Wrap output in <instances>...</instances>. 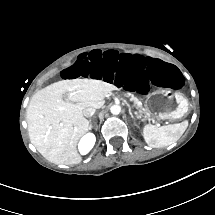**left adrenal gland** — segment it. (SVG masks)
<instances>
[{"instance_id": "a2214340", "label": "left adrenal gland", "mask_w": 215, "mask_h": 215, "mask_svg": "<svg viewBox=\"0 0 215 215\" xmlns=\"http://www.w3.org/2000/svg\"><path fill=\"white\" fill-rule=\"evenodd\" d=\"M129 114H130L131 118H134V116H133L131 110H129Z\"/></svg>"}]
</instances>
